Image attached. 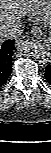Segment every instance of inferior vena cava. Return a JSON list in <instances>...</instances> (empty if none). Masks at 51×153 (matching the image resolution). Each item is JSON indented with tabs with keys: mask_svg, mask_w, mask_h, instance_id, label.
Listing matches in <instances>:
<instances>
[{
	"mask_svg": "<svg viewBox=\"0 0 51 153\" xmlns=\"http://www.w3.org/2000/svg\"><path fill=\"white\" fill-rule=\"evenodd\" d=\"M23 33V26L21 23H16L15 25L6 28L0 33V42H4L6 39L17 38Z\"/></svg>",
	"mask_w": 51,
	"mask_h": 153,
	"instance_id": "inferior-vena-cava-1",
	"label": "inferior vena cava"
}]
</instances>
